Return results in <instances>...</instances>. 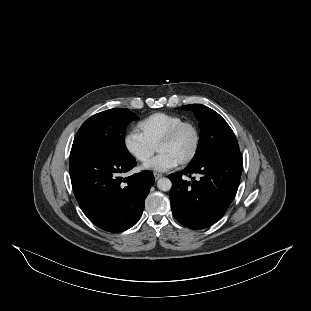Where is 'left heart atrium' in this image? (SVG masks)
Segmentation results:
<instances>
[{"instance_id": "39dd6f15", "label": "left heart atrium", "mask_w": 311, "mask_h": 311, "mask_svg": "<svg viewBox=\"0 0 311 311\" xmlns=\"http://www.w3.org/2000/svg\"><path fill=\"white\" fill-rule=\"evenodd\" d=\"M180 164L178 159L169 153H159L155 158L143 166V169L163 173L177 167Z\"/></svg>"}]
</instances>
